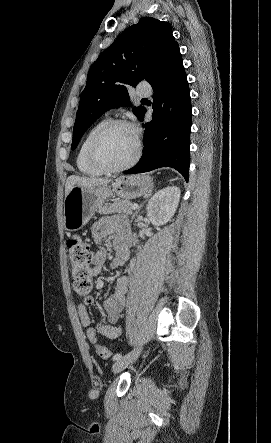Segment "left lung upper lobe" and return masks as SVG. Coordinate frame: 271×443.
Returning a JSON list of instances; mask_svg holds the SVG:
<instances>
[{
	"instance_id": "obj_1",
	"label": "left lung upper lobe",
	"mask_w": 271,
	"mask_h": 443,
	"mask_svg": "<svg viewBox=\"0 0 271 443\" xmlns=\"http://www.w3.org/2000/svg\"><path fill=\"white\" fill-rule=\"evenodd\" d=\"M177 46L170 25L152 17L141 19L120 34L90 67L76 114L72 150L105 111L130 106L127 85L135 87L147 80ZM144 109L133 108L138 119Z\"/></svg>"
}]
</instances>
